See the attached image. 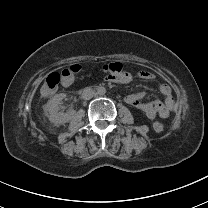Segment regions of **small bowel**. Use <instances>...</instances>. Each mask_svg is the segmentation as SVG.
I'll return each mask as SVG.
<instances>
[{"label": "small bowel", "instance_id": "obj_1", "mask_svg": "<svg viewBox=\"0 0 208 208\" xmlns=\"http://www.w3.org/2000/svg\"><path fill=\"white\" fill-rule=\"evenodd\" d=\"M136 76L144 80H152L154 78V75L149 71H140L137 73ZM131 80H132V75L127 73L120 80V82L129 83ZM159 91L164 97L163 100L143 102L142 99L146 96L147 93L145 91H142L139 93L127 95L125 97V102L131 105L132 107L138 109L139 111L143 112L149 119H154L156 117L167 118L174 110V106H175L174 96L172 94L171 88L167 84H160Z\"/></svg>", "mask_w": 208, "mask_h": 208}]
</instances>
